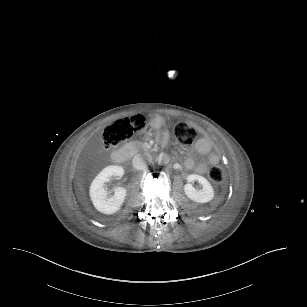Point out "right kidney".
<instances>
[{
	"label": "right kidney",
	"instance_id": "ca27d5eb",
	"mask_svg": "<svg viewBox=\"0 0 307 307\" xmlns=\"http://www.w3.org/2000/svg\"><path fill=\"white\" fill-rule=\"evenodd\" d=\"M123 175L124 169L121 166H108L93 180L90 187V197L96 210L106 215H112L121 209L127 190L123 187H118L114 195L108 197L105 183L110 182L113 176L122 177Z\"/></svg>",
	"mask_w": 307,
	"mask_h": 307
}]
</instances>
